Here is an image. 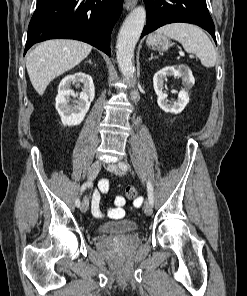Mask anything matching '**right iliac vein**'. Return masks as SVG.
<instances>
[{"label": "right iliac vein", "mask_w": 247, "mask_h": 296, "mask_svg": "<svg viewBox=\"0 0 247 296\" xmlns=\"http://www.w3.org/2000/svg\"><path fill=\"white\" fill-rule=\"evenodd\" d=\"M101 169V162L96 161L94 162L88 170V180L92 181L99 173ZM89 201L87 198H84L81 204V212L85 213L88 210Z\"/></svg>", "instance_id": "1"}]
</instances>
